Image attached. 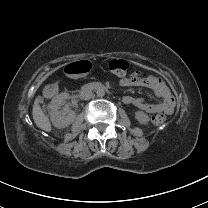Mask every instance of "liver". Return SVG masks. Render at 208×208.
<instances>
[{"mask_svg": "<svg viewBox=\"0 0 208 208\" xmlns=\"http://www.w3.org/2000/svg\"><path fill=\"white\" fill-rule=\"evenodd\" d=\"M41 102H43L42 96L38 95L35 97L32 107L33 121L39 129L45 132H51L52 125L49 118L44 114V111L41 108Z\"/></svg>", "mask_w": 208, "mask_h": 208, "instance_id": "liver-1", "label": "liver"}]
</instances>
